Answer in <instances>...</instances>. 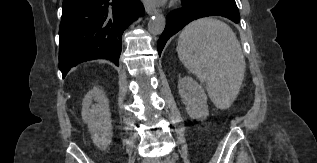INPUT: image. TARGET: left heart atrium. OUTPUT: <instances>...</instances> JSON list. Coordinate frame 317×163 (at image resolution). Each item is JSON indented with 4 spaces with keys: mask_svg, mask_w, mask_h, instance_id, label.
Here are the masks:
<instances>
[{
    "mask_svg": "<svg viewBox=\"0 0 317 163\" xmlns=\"http://www.w3.org/2000/svg\"><path fill=\"white\" fill-rule=\"evenodd\" d=\"M148 1L156 3V2H160L161 0H148Z\"/></svg>",
    "mask_w": 317,
    "mask_h": 163,
    "instance_id": "left-heart-atrium-1",
    "label": "left heart atrium"
}]
</instances>
